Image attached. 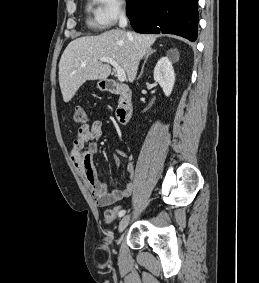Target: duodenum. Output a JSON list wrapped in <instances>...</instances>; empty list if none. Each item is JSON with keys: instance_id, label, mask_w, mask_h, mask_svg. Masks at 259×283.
<instances>
[{"instance_id": "1", "label": "duodenum", "mask_w": 259, "mask_h": 283, "mask_svg": "<svg viewBox=\"0 0 259 283\" xmlns=\"http://www.w3.org/2000/svg\"><path fill=\"white\" fill-rule=\"evenodd\" d=\"M105 90L110 94L118 96L116 116L120 123H127L133 113L132 91L127 86L114 80L105 82Z\"/></svg>"}]
</instances>
